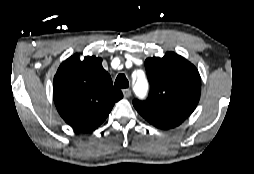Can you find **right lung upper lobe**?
<instances>
[{
	"label": "right lung upper lobe",
	"instance_id": "obj_1",
	"mask_svg": "<svg viewBox=\"0 0 254 174\" xmlns=\"http://www.w3.org/2000/svg\"><path fill=\"white\" fill-rule=\"evenodd\" d=\"M123 97L113 86L102 59L75 54L65 60L53 81V98L60 116L75 130L91 132L109 115Z\"/></svg>",
	"mask_w": 254,
	"mask_h": 174
}]
</instances>
